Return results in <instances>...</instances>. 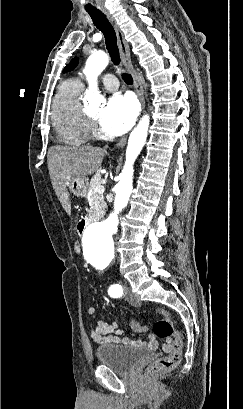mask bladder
<instances>
[{"mask_svg": "<svg viewBox=\"0 0 243 409\" xmlns=\"http://www.w3.org/2000/svg\"><path fill=\"white\" fill-rule=\"evenodd\" d=\"M151 356L152 352L148 349L123 344H105L96 350V357L101 365L121 373L131 371Z\"/></svg>", "mask_w": 243, "mask_h": 409, "instance_id": "bladder-1", "label": "bladder"}]
</instances>
